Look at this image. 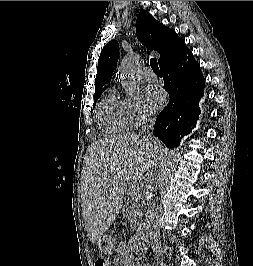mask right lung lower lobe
<instances>
[{"label": "right lung lower lobe", "mask_w": 253, "mask_h": 266, "mask_svg": "<svg viewBox=\"0 0 253 266\" xmlns=\"http://www.w3.org/2000/svg\"><path fill=\"white\" fill-rule=\"evenodd\" d=\"M160 69L170 100L157 116L153 133L166 146L176 147L190 133L201 112L197 102L203 95L205 79L188 48Z\"/></svg>", "instance_id": "98d812e1"}]
</instances>
